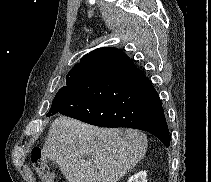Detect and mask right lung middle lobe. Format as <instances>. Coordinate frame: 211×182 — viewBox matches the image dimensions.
<instances>
[{
	"instance_id": "obj_1",
	"label": "right lung middle lobe",
	"mask_w": 211,
	"mask_h": 182,
	"mask_svg": "<svg viewBox=\"0 0 211 182\" xmlns=\"http://www.w3.org/2000/svg\"><path fill=\"white\" fill-rule=\"evenodd\" d=\"M83 70V67H74L69 75L67 76L66 79V85L64 87H62L55 95V98L53 100V104H52V108L50 109L49 113L47 114V116H51L54 114L55 111V104L58 100L64 99L66 98L71 91L75 88L76 86V82L78 77L80 76L81 72Z\"/></svg>"
}]
</instances>
